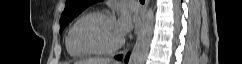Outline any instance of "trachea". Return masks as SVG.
<instances>
[{
	"label": "trachea",
	"instance_id": "1",
	"mask_svg": "<svg viewBox=\"0 0 242 64\" xmlns=\"http://www.w3.org/2000/svg\"><path fill=\"white\" fill-rule=\"evenodd\" d=\"M141 2H145V0H140Z\"/></svg>",
	"mask_w": 242,
	"mask_h": 64
}]
</instances>
